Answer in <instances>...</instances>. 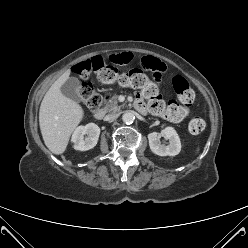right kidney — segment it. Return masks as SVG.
<instances>
[{
	"label": "right kidney",
	"mask_w": 248,
	"mask_h": 248,
	"mask_svg": "<svg viewBox=\"0 0 248 248\" xmlns=\"http://www.w3.org/2000/svg\"><path fill=\"white\" fill-rule=\"evenodd\" d=\"M87 135V136H86ZM100 135V128L94 123L76 128L71 141L74 148L80 151H86L96 146Z\"/></svg>",
	"instance_id": "1"
}]
</instances>
